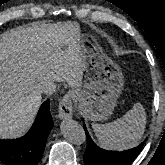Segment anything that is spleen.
<instances>
[{"mask_svg": "<svg viewBox=\"0 0 165 165\" xmlns=\"http://www.w3.org/2000/svg\"><path fill=\"white\" fill-rule=\"evenodd\" d=\"M146 127V112L140 103L126 114L107 124H92L99 144L105 149L126 150L136 146Z\"/></svg>", "mask_w": 165, "mask_h": 165, "instance_id": "3e777b00", "label": "spleen"}]
</instances>
